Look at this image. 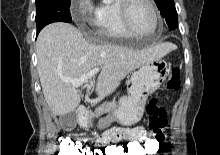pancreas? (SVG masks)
<instances>
[{"mask_svg":"<svg viewBox=\"0 0 220 155\" xmlns=\"http://www.w3.org/2000/svg\"><path fill=\"white\" fill-rule=\"evenodd\" d=\"M117 108H118V105H117L115 100L110 101V102H106V103L98 106L95 109L94 113L90 114V116L91 117H94V116L95 117H99V116H101V115H103L105 113L114 112V111L117 110Z\"/></svg>","mask_w":220,"mask_h":155,"instance_id":"pancreas-1","label":"pancreas"}]
</instances>
